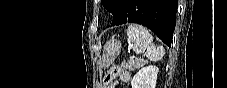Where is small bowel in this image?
I'll list each match as a JSON object with an SVG mask.
<instances>
[{
  "label": "small bowel",
  "mask_w": 227,
  "mask_h": 88,
  "mask_svg": "<svg viewBox=\"0 0 227 88\" xmlns=\"http://www.w3.org/2000/svg\"><path fill=\"white\" fill-rule=\"evenodd\" d=\"M116 78H119L122 82H128L131 78L130 73L121 68H114L104 79V85L107 88H114L117 84Z\"/></svg>",
  "instance_id": "obj_1"
}]
</instances>
